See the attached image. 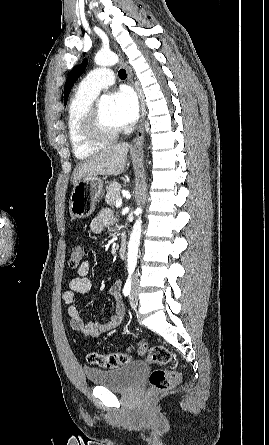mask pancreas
I'll return each mask as SVG.
<instances>
[{
    "mask_svg": "<svg viewBox=\"0 0 269 445\" xmlns=\"http://www.w3.org/2000/svg\"><path fill=\"white\" fill-rule=\"evenodd\" d=\"M120 190H121V185L118 182H112L108 186V191L105 197V201L108 206L113 207L116 203V200L120 199L121 197Z\"/></svg>",
    "mask_w": 269,
    "mask_h": 445,
    "instance_id": "1",
    "label": "pancreas"
}]
</instances>
